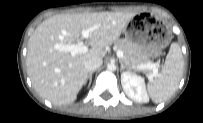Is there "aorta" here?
<instances>
[{"instance_id":"obj_1","label":"aorta","mask_w":203,"mask_h":123,"mask_svg":"<svg viewBox=\"0 0 203 123\" xmlns=\"http://www.w3.org/2000/svg\"><path fill=\"white\" fill-rule=\"evenodd\" d=\"M107 69H108L109 71H114V70L116 69V66H115L114 63H111V64H108V65H107Z\"/></svg>"}]
</instances>
